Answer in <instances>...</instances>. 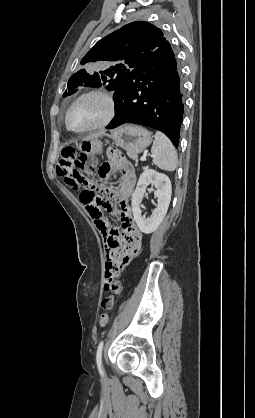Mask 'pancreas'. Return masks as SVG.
<instances>
[{
    "label": "pancreas",
    "instance_id": "pancreas-1",
    "mask_svg": "<svg viewBox=\"0 0 255 418\" xmlns=\"http://www.w3.org/2000/svg\"><path fill=\"white\" fill-rule=\"evenodd\" d=\"M127 155H128L131 159H133V160H136V161H137V155H136V154H133V153L127 152Z\"/></svg>",
    "mask_w": 255,
    "mask_h": 418
}]
</instances>
